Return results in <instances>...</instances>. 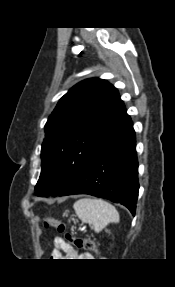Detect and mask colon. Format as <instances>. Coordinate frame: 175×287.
<instances>
[{"label": "colon", "instance_id": "5ec220e1", "mask_svg": "<svg viewBox=\"0 0 175 287\" xmlns=\"http://www.w3.org/2000/svg\"><path fill=\"white\" fill-rule=\"evenodd\" d=\"M44 225L45 227L55 228L60 234H64L66 241L75 247L99 253L98 246L95 244V242L87 238L74 236L67 231L66 225L62 221L56 218L46 217L44 220Z\"/></svg>", "mask_w": 175, "mask_h": 287}]
</instances>
